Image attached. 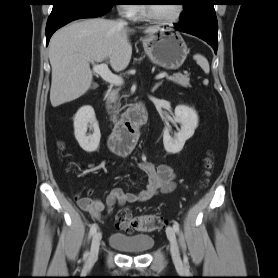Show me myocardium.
Instances as JSON below:
<instances>
[{
    "label": "myocardium",
    "instance_id": "obj_1",
    "mask_svg": "<svg viewBox=\"0 0 278 278\" xmlns=\"http://www.w3.org/2000/svg\"><path fill=\"white\" fill-rule=\"evenodd\" d=\"M144 13H145V16L155 22V23H158V24H162V25H172L176 22H178L183 13H184V5L183 4H178V9H177V12L175 14V16H173L172 18H169V19H163V18H160V17H157L156 15L153 14L151 8H150V5H144Z\"/></svg>",
    "mask_w": 278,
    "mask_h": 278
}]
</instances>
